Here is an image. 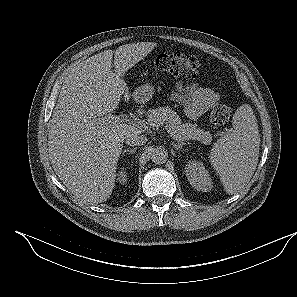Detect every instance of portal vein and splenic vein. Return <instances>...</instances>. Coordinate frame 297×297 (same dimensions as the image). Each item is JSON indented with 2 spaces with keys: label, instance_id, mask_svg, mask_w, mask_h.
<instances>
[{
  "label": "portal vein and splenic vein",
  "instance_id": "18ae733b",
  "mask_svg": "<svg viewBox=\"0 0 297 297\" xmlns=\"http://www.w3.org/2000/svg\"><path fill=\"white\" fill-rule=\"evenodd\" d=\"M124 122H130V119H128L127 117L124 116H119V115H113V114H109L103 118H99V123L100 124H113V125H117V124H121ZM167 132L176 139H180L178 137V135L174 132L173 129H171L168 125L165 126Z\"/></svg>",
  "mask_w": 297,
  "mask_h": 297
}]
</instances>
